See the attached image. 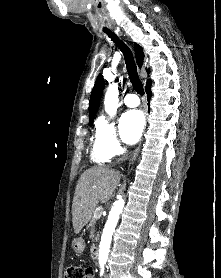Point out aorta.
<instances>
[{"label": "aorta", "mask_w": 221, "mask_h": 278, "mask_svg": "<svg viewBox=\"0 0 221 278\" xmlns=\"http://www.w3.org/2000/svg\"><path fill=\"white\" fill-rule=\"evenodd\" d=\"M119 102V90L118 85L110 84L104 98V108L109 116H114L117 112ZM125 201L120 196L117 201L114 202L112 209L109 213L107 222L105 224L101 242L99 246V262L106 263L108 259L109 249L111 245L112 235L115 227L118 223L119 216L122 213Z\"/></svg>", "instance_id": "1"}]
</instances>
